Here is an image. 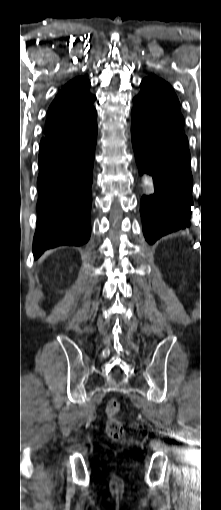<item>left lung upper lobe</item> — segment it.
I'll use <instances>...</instances> for the list:
<instances>
[{"label":"left lung upper lobe","instance_id":"left-lung-upper-lobe-1","mask_svg":"<svg viewBox=\"0 0 221 510\" xmlns=\"http://www.w3.org/2000/svg\"><path fill=\"white\" fill-rule=\"evenodd\" d=\"M140 93L133 99L134 108L163 132L187 143L182 133L184 118L180 103L170 84L155 75L142 80Z\"/></svg>","mask_w":221,"mask_h":510}]
</instances>
